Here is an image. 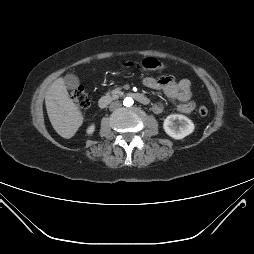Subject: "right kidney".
Here are the masks:
<instances>
[{
	"instance_id": "obj_1",
	"label": "right kidney",
	"mask_w": 254,
	"mask_h": 254,
	"mask_svg": "<svg viewBox=\"0 0 254 254\" xmlns=\"http://www.w3.org/2000/svg\"><path fill=\"white\" fill-rule=\"evenodd\" d=\"M94 131H95V125L89 126L86 130L87 134L89 135H92Z\"/></svg>"
}]
</instances>
